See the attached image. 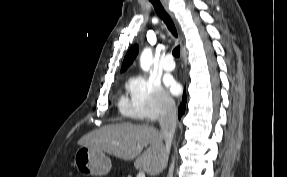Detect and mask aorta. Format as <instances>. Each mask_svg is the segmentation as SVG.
Masks as SVG:
<instances>
[{
    "mask_svg": "<svg viewBox=\"0 0 287 177\" xmlns=\"http://www.w3.org/2000/svg\"><path fill=\"white\" fill-rule=\"evenodd\" d=\"M140 64L143 70L148 71L152 64V51L151 49H145L140 58Z\"/></svg>",
    "mask_w": 287,
    "mask_h": 177,
    "instance_id": "obj_1",
    "label": "aorta"
}]
</instances>
